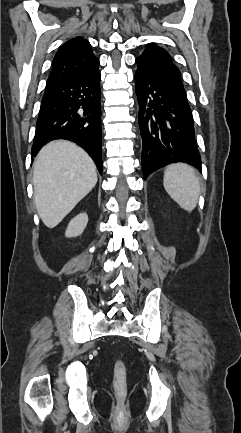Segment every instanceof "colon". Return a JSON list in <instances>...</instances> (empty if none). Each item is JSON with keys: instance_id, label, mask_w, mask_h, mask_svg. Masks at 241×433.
<instances>
[{"instance_id": "obj_1", "label": "colon", "mask_w": 241, "mask_h": 433, "mask_svg": "<svg viewBox=\"0 0 241 433\" xmlns=\"http://www.w3.org/2000/svg\"><path fill=\"white\" fill-rule=\"evenodd\" d=\"M113 385L115 392L119 396H123L127 390V372L126 365L123 360L118 359L114 365Z\"/></svg>"}]
</instances>
